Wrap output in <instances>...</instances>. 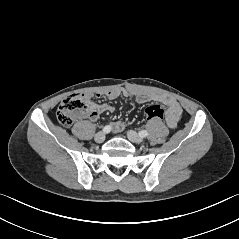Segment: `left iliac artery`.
Here are the masks:
<instances>
[{
    "instance_id": "44dca946",
    "label": "left iliac artery",
    "mask_w": 239,
    "mask_h": 239,
    "mask_svg": "<svg viewBox=\"0 0 239 239\" xmlns=\"http://www.w3.org/2000/svg\"><path fill=\"white\" fill-rule=\"evenodd\" d=\"M140 137H146L148 135V132L146 130H142L139 132Z\"/></svg>"
}]
</instances>
